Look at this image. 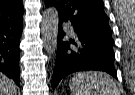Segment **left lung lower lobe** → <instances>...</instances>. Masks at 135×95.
Here are the masks:
<instances>
[{"instance_id": "1", "label": "left lung lower lobe", "mask_w": 135, "mask_h": 95, "mask_svg": "<svg viewBox=\"0 0 135 95\" xmlns=\"http://www.w3.org/2000/svg\"><path fill=\"white\" fill-rule=\"evenodd\" d=\"M64 21L59 19L52 88L55 89L61 79L79 71H104L117 79L111 32L92 31L73 26L75 38L64 41L66 35L62 28Z\"/></svg>"}]
</instances>
